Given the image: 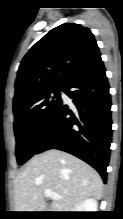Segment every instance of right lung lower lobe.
<instances>
[{
    "instance_id": "98d812e1",
    "label": "right lung lower lobe",
    "mask_w": 123,
    "mask_h": 219,
    "mask_svg": "<svg viewBox=\"0 0 123 219\" xmlns=\"http://www.w3.org/2000/svg\"><path fill=\"white\" fill-rule=\"evenodd\" d=\"M74 106L63 103L45 129L36 154L56 148L90 164L107 180L112 138L111 99L105 67L99 57L65 84Z\"/></svg>"
}]
</instances>
